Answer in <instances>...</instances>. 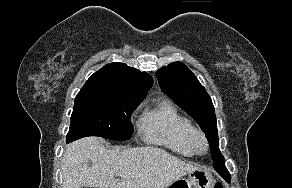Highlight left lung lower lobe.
Returning <instances> with one entry per match:
<instances>
[{
  "label": "left lung lower lobe",
  "instance_id": "obj_1",
  "mask_svg": "<svg viewBox=\"0 0 292 188\" xmlns=\"http://www.w3.org/2000/svg\"><path fill=\"white\" fill-rule=\"evenodd\" d=\"M214 168L220 175H222V176L224 175V172H223L225 170L224 162L221 166H216Z\"/></svg>",
  "mask_w": 292,
  "mask_h": 188
}]
</instances>
